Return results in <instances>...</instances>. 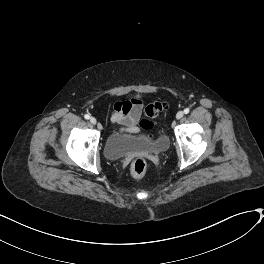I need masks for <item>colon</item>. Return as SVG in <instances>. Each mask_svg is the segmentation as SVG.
<instances>
[{
	"mask_svg": "<svg viewBox=\"0 0 264 264\" xmlns=\"http://www.w3.org/2000/svg\"><path fill=\"white\" fill-rule=\"evenodd\" d=\"M167 105L165 102H153L149 104L146 108V116L148 117V120L145 122V128L147 131V134L150 136H154L153 133V119L159 116L165 109ZM147 170V163L144 159H136L132 165H131V174L135 178L142 177Z\"/></svg>",
	"mask_w": 264,
	"mask_h": 264,
	"instance_id": "5ec220e1",
	"label": "colon"
}]
</instances>
